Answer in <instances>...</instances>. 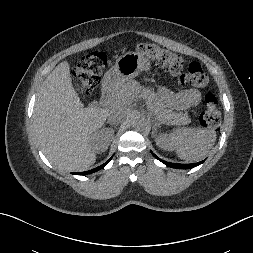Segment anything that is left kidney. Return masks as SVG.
Masks as SVG:
<instances>
[{
	"instance_id": "left-kidney-1",
	"label": "left kidney",
	"mask_w": 253,
	"mask_h": 253,
	"mask_svg": "<svg viewBox=\"0 0 253 253\" xmlns=\"http://www.w3.org/2000/svg\"><path fill=\"white\" fill-rule=\"evenodd\" d=\"M156 144L164 150H171L169 138L165 134H160L156 138Z\"/></svg>"
}]
</instances>
